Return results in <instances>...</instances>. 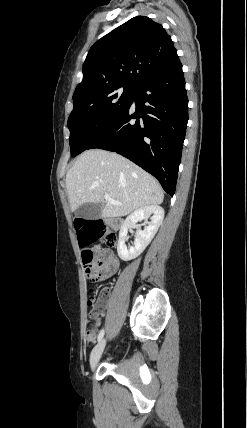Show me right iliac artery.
<instances>
[{
  "label": "right iliac artery",
  "mask_w": 247,
  "mask_h": 428,
  "mask_svg": "<svg viewBox=\"0 0 247 428\" xmlns=\"http://www.w3.org/2000/svg\"><path fill=\"white\" fill-rule=\"evenodd\" d=\"M103 336H104V329H102L98 335V342L102 340Z\"/></svg>",
  "instance_id": "1"
}]
</instances>
